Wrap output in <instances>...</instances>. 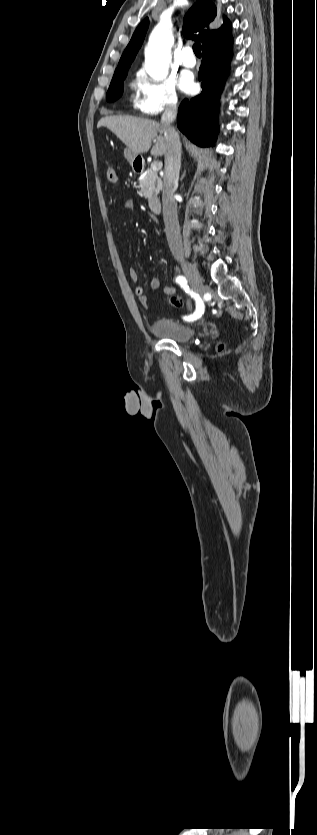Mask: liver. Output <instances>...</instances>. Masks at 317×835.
Here are the masks:
<instances>
[{"label": "liver", "mask_w": 317, "mask_h": 835, "mask_svg": "<svg viewBox=\"0 0 317 835\" xmlns=\"http://www.w3.org/2000/svg\"><path fill=\"white\" fill-rule=\"evenodd\" d=\"M102 126L115 134L134 154L149 151L154 139L157 142L151 149V155L159 157L165 154L166 141L162 136L164 130L161 124L154 120L110 115L98 121L97 128Z\"/></svg>", "instance_id": "obj_1"}]
</instances>
